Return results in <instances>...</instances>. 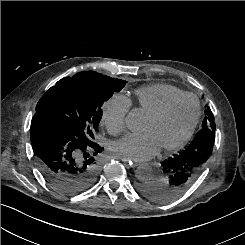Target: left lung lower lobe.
Instances as JSON below:
<instances>
[{
    "mask_svg": "<svg viewBox=\"0 0 245 245\" xmlns=\"http://www.w3.org/2000/svg\"><path fill=\"white\" fill-rule=\"evenodd\" d=\"M215 130L200 131L178 154L161 162L160 174L145 181L141 192L153 201H170L185 192L204 170L212 154Z\"/></svg>",
    "mask_w": 245,
    "mask_h": 245,
    "instance_id": "0a47b994",
    "label": "left lung lower lobe"
}]
</instances>
